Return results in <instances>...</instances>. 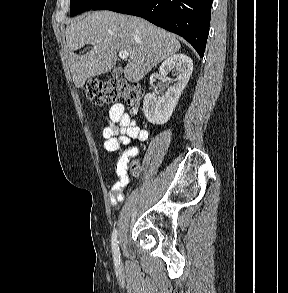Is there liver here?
Here are the masks:
<instances>
[{"mask_svg": "<svg viewBox=\"0 0 288 293\" xmlns=\"http://www.w3.org/2000/svg\"><path fill=\"white\" fill-rule=\"evenodd\" d=\"M70 71L77 88L86 80L109 72L116 64L117 52L129 59L124 77L139 82L157 64L174 55L181 45L174 35L148 21L108 10L75 18L65 31ZM93 48L83 55L74 51L85 45Z\"/></svg>", "mask_w": 288, "mask_h": 293, "instance_id": "obj_1", "label": "liver"}]
</instances>
